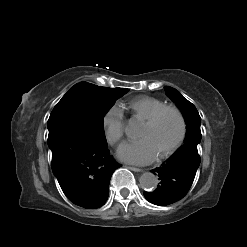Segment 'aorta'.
<instances>
[{
	"mask_svg": "<svg viewBox=\"0 0 247 247\" xmlns=\"http://www.w3.org/2000/svg\"><path fill=\"white\" fill-rule=\"evenodd\" d=\"M137 129V124L130 122L125 128V132L128 136L132 137L137 132ZM139 182L143 189L153 191L158 185V177L151 172H145L141 175Z\"/></svg>",
	"mask_w": 247,
	"mask_h": 247,
	"instance_id": "1",
	"label": "aorta"
}]
</instances>
